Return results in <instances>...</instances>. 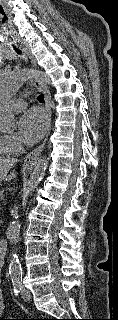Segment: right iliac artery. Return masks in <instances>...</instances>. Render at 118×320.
<instances>
[{"label": "right iliac artery", "mask_w": 118, "mask_h": 320, "mask_svg": "<svg viewBox=\"0 0 118 320\" xmlns=\"http://www.w3.org/2000/svg\"><path fill=\"white\" fill-rule=\"evenodd\" d=\"M12 284H13V292H14V294L18 295L20 290H21V285H22L21 281L20 280H15V281L12 282Z\"/></svg>", "instance_id": "obj_1"}]
</instances>
